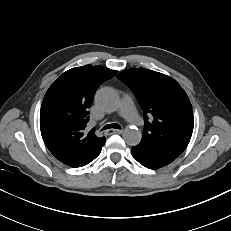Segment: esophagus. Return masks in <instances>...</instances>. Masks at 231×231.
Listing matches in <instances>:
<instances>
[{
  "mask_svg": "<svg viewBox=\"0 0 231 231\" xmlns=\"http://www.w3.org/2000/svg\"><path fill=\"white\" fill-rule=\"evenodd\" d=\"M122 132H123V130H121V129H110L107 131L108 134H112V133L121 134Z\"/></svg>",
  "mask_w": 231,
  "mask_h": 231,
  "instance_id": "1",
  "label": "esophagus"
}]
</instances>
